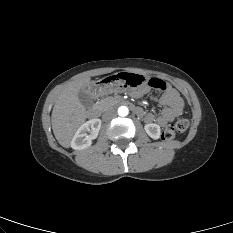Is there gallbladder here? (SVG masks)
Instances as JSON below:
<instances>
[{
  "mask_svg": "<svg viewBox=\"0 0 233 233\" xmlns=\"http://www.w3.org/2000/svg\"><path fill=\"white\" fill-rule=\"evenodd\" d=\"M78 98L80 100V102L82 103V105L89 109L93 106L94 103V99L93 97L87 93L85 90H80L78 93Z\"/></svg>",
  "mask_w": 233,
  "mask_h": 233,
  "instance_id": "1",
  "label": "gallbladder"
}]
</instances>
